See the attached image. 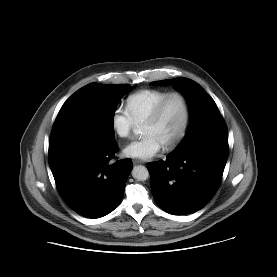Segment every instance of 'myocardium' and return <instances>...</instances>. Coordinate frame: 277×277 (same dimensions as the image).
I'll list each match as a JSON object with an SVG mask.
<instances>
[{"instance_id":"obj_1","label":"myocardium","mask_w":277,"mask_h":277,"mask_svg":"<svg viewBox=\"0 0 277 277\" xmlns=\"http://www.w3.org/2000/svg\"><path fill=\"white\" fill-rule=\"evenodd\" d=\"M173 97H178L183 102L184 121H183V124H182V127H181L179 133L174 137L173 140H171L168 144H166L164 146L165 150H171V149L175 148L183 140V138L185 137V135L188 131L190 119H191V109H190V103H189L188 98L181 92H170L158 103V105L156 106V108L154 109L152 114L143 123L145 125V124H154V123L158 122V120L160 119V117L163 113L165 105Z\"/></svg>"}]
</instances>
